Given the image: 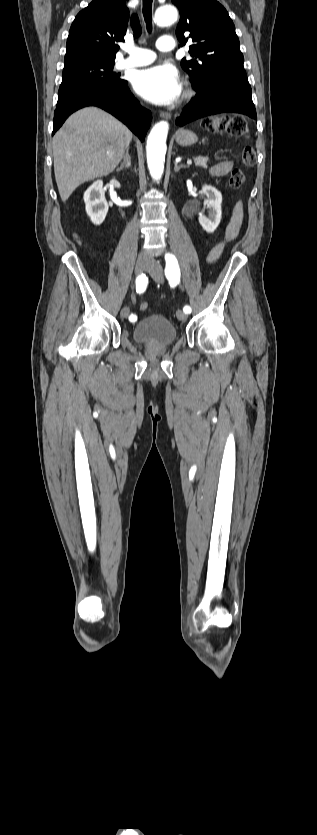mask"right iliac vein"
Listing matches in <instances>:
<instances>
[{
  "instance_id": "1",
  "label": "right iliac vein",
  "mask_w": 317,
  "mask_h": 835,
  "mask_svg": "<svg viewBox=\"0 0 317 835\" xmlns=\"http://www.w3.org/2000/svg\"><path fill=\"white\" fill-rule=\"evenodd\" d=\"M147 266H148V260L145 257H138V259L136 261V264H135V272L137 274H141L147 268ZM129 312H130L129 308L124 307L121 310L120 315H121L122 318H126V317H128Z\"/></svg>"
}]
</instances>
